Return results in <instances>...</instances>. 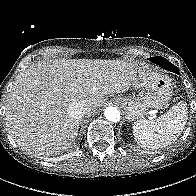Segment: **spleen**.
Here are the masks:
<instances>
[{"label":"spleen","mask_w":196,"mask_h":196,"mask_svg":"<svg viewBox=\"0 0 196 196\" xmlns=\"http://www.w3.org/2000/svg\"><path fill=\"white\" fill-rule=\"evenodd\" d=\"M187 119V104L180 101L157 119L134 122L135 140L143 147L151 149L165 147L182 133Z\"/></svg>","instance_id":"obj_1"}]
</instances>
